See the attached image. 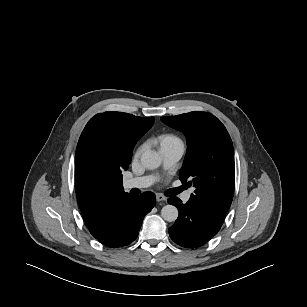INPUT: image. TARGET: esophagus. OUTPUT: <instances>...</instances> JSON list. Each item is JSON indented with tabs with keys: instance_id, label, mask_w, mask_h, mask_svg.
I'll return each instance as SVG.
<instances>
[{
	"instance_id": "obj_1",
	"label": "esophagus",
	"mask_w": 307,
	"mask_h": 307,
	"mask_svg": "<svg viewBox=\"0 0 307 307\" xmlns=\"http://www.w3.org/2000/svg\"><path fill=\"white\" fill-rule=\"evenodd\" d=\"M156 200H157L158 202H160V201H166L167 198H166L164 195H162V194H156Z\"/></svg>"
}]
</instances>
